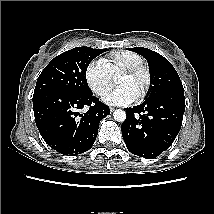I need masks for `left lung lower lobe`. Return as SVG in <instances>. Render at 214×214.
<instances>
[{"instance_id":"1","label":"left lung lower lobe","mask_w":214,"mask_h":214,"mask_svg":"<svg viewBox=\"0 0 214 214\" xmlns=\"http://www.w3.org/2000/svg\"><path fill=\"white\" fill-rule=\"evenodd\" d=\"M184 111V92L165 93L126 108L121 129L128 150L146 159L159 156L179 133Z\"/></svg>"}]
</instances>
